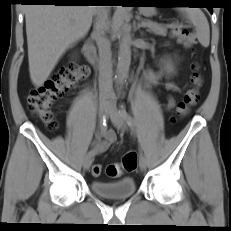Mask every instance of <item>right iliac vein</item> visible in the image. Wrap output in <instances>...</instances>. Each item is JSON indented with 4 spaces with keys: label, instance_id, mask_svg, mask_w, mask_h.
Listing matches in <instances>:
<instances>
[{
    "label": "right iliac vein",
    "instance_id": "right-iliac-vein-1",
    "mask_svg": "<svg viewBox=\"0 0 231 231\" xmlns=\"http://www.w3.org/2000/svg\"><path fill=\"white\" fill-rule=\"evenodd\" d=\"M108 96L103 94L100 97V105H99V117L103 118L108 113V104H107ZM93 158L90 155H85L83 158V168L84 170H88L91 167Z\"/></svg>",
    "mask_w": 231,
    "mask_h": 231
}]
</instances>
